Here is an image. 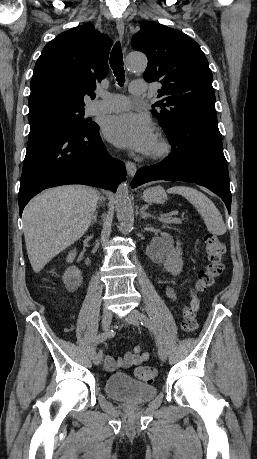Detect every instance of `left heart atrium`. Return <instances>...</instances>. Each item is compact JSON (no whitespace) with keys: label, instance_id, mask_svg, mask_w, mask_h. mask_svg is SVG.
Wrapping results in <instances>:
<instances>
[{"label":"left heart atrium","instance_id":"39dd6f15","mask_svg":"<svg viewBox=\"0 0 257 459\" xmlns=\"http://www.w3.org/2000/svg\"><path fill=\"white\" fill-rule=\"evenodd\" d=\"M105 135L114 144L140 153L151 152L157 141L149 117L135 113L109 118L105 125Z\"/></svg>","mask_w":257,"mask_h":459}]
</instances>
